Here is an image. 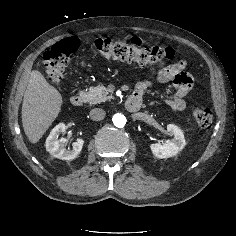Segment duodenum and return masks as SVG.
I'll use <instances>...</instances> for the list:
<instances>
[{
  "label": "duodenum",
  "instance_id": "410a0bca",
  "mask_svg": "<svg viewBox=\"0 0 236 236\" xmlns=\"http://www.w3.org/2000/svg\"><path fill=\"white\" fill-rule=\"evenodd\" d=\"M84 97L81 94H74L70 97V102L73 106L79 107L83 104ZM142 99L138 95L130 96L125 103V107L129 112H136L141 108Z\"/></svg>",
  "mask_w": 236,
  "mask_h": 236
}]
</instances>
